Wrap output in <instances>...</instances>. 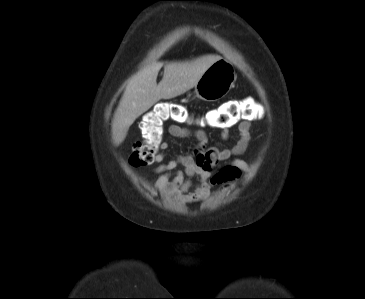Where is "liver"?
<instances>
[{"label":"liver","mask_w":365,"mask_h":299,"mask_svg":"<svg viewBox=\"0 0 365 299\" xmlns=\"http://www.w3.org/2000/svg\"><path fill=\"white\" fill-rule=\"evenodd\" d=\"M218 59L219 56L207 55L190 62L166 64L159 84L156 79L162 63L152 64L133 76L114 115L112 132L115 143L123 142L134 121L160 99H171L193 88Z\"/></svg>","instance_id":"1"}]
</instances>
